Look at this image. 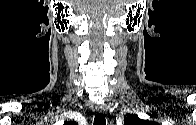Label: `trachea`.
<instances>
[{
  "label": "trachea",
  "mask_w": 196,
  "mask_h": 125,
  "mask_svg": "<svg viewBox=\"0 0 196 125\" xmlns=\"http://www.w3.org/2000/svg\"><path fill=\"white\" fill-rule=\"evenodd\" d=\"M93 125H106V119H105L104 115L97 114L94 118Z\"/></svg>",
  "instance_id": "1"
}]
</instances>
